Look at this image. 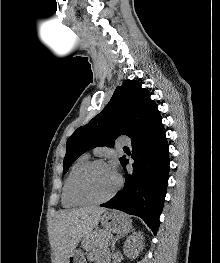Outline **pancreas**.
I'll list each match as a JSON object with an SVG mask.
<instances>
[{
    "instance_id": "cf45deb5",
    "label": "pancreas",
    "mask_w": 220,
    "mask_h": 263,
    "mask_svg": "<svg viewBox=\"0 0 220 263\" xmlns=\"http://www.w3.org/2000/svg\"><path fill=\"white\" fill-rule=\"evenodd\" d=\"M110 234L105 230H95L91 234L87 235L82 241L83 248L85 249H104L109 240Z\"/></svg>"
}]
</instances>
